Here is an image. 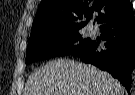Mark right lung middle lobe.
Masks as SVG:
<instances>
[{
    "instance_id": "1",
    "label": "right lung middle lobe",
    "mask_w": 135,
    "mask_h": 95,
    "mask_svg": "<svg viewBox=\"0 0 135 95\" xmlns=\"http://www.w3.org/2000/svg\"><path fill=\"white\" fill-rule=\"evenodd\" d=\"M89 41L90 38H84L78 30L31 34L26 52V64L36 60L72 55L85 47Z\"/></svg>"
}]
</instances>
